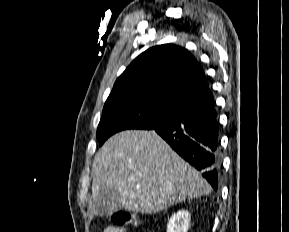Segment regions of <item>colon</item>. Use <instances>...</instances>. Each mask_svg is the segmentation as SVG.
Here are the masks:
<instances>
[{
  "mask_svg": "<svg viewBox=\"0 0 289 232\" xmlns=\"http://www.w3.org/2000/svg\"><path fill=\"white\" fill-rule=\"evenodd\" d=\"M112 222L117 227H125L135 224L133 215L125 211H117L112 215Z\"/></svg>",
  "mask_w": 289,
  "mask_h": 232,
  "instance_id": "1",
  "label": "colon"
}]
</instances>
